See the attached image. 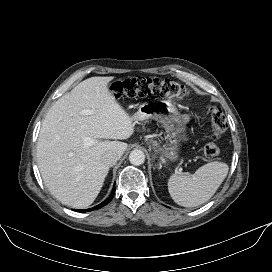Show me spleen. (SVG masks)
Masks as SVG:
<instances>
[{
	"mask_svg": "<svg viewBox=\"0 0 272 272\" xmlns=\"http://www.w3.org/2000/svg\"><path fill=\"white\" fill-rule=\"evenodd\" d=\"M228 170L226 163L215 161L201 166L190 176L175 173L168 181L169 194L178 205L199 206L215 194Z\"/></svg>",
	"mask_w": 272,
	"mask_h": 272,
	"instance_id": "spleen-1",
	"label": "spleen"
}]
</instances>
